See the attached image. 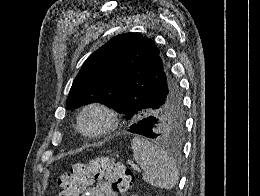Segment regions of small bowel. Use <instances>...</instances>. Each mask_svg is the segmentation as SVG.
I'll return each instance as SVG.
<instances>
[{"label": "small bowel", "instance_id": "c3829d8e", "mask_svg": "<svg viewBox=\"0 0 260 196\" xmlns=\"http://www.w3.org/2000/svg\"><path fill=\"white\" fill-rule=\"evenodd\" d=\"M84 196H117L111 184L105 180H99L85 188Z\"/></svg>", "mask_w": 260, "mask_h": 196}]
</instances>
